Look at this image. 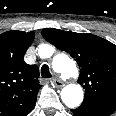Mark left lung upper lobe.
Masks as SVG:
<instances>
[{"label":"left lung upper lobe","mask_w":116,"mask_h":116,"mask_svg":"<svg viewBox=\"0 0 116 116\" xmlns=\"http://www.w3.org/2000/svg\"><path fill=\"white\" fill-rule=\"evenodd\" d=\"M42 35L78 63V83L85 89L83 103L116 106V45L96 35L52 28L43 29Z\"/></svg>","instance_id":"left-lung-upper-lobe-1"}]
</instances>
